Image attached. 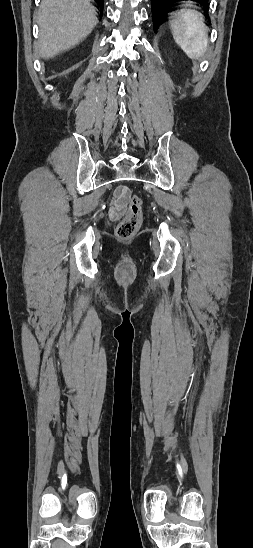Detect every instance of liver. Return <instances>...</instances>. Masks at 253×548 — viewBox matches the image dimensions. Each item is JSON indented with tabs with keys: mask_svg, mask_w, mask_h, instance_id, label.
Listing matches in <instances>:
<instances>
[{
	"mask_svg": "<svg viewBox=\"0 0 253 548\" xmlns=\"http://www.w3.org/2000/svg\"><path fill=\"white\" fill-rule=\"evenodd\" d=\"M37 22L38 56L48 59L82 42L98 19L88 0H42Z\"/></svg>",
	"mask_w": 253,
	"mask_h": 548,
	"instance_id": "obj_1",
	"label": "liver"
}]
</instances>
